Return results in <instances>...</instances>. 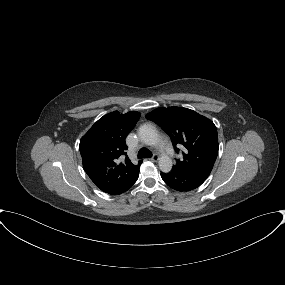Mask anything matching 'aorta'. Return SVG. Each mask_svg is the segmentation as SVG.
I'll use <instances>...</instances> for the list:
<instances>
[{
    "mask_svg": "<svg viewBox=\"0 0 285 285\" xmlns=\"http://www.w3.org/2000/svg\"><path fill=\"white\" fill-rule=\"evenodd\" d=\"M138 135L144 144L148 146H157L160 142L159 135L155 128L150 125H142L138 130ZM159 168L162 172L168 173L172 169V160L166 154H161L158 158Z\"/></svg>",
    "mask_w": 285,
    "mask_h": 285,
    "instance_id": "762f6f07",
    "label": "aorta"
}]
</instances>
